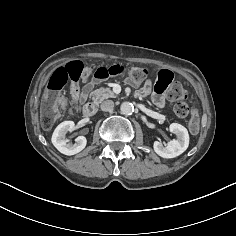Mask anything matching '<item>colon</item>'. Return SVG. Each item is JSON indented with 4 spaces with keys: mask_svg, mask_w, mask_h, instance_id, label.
Masks as SVG:
<instances>
[{
    "mask_svg": "<svg viewBox=\"0 0 236 236\" xmlns=\"http://www.w3.org/2000/svg\"><path fill=\"white\" fill-rule=\"evenodd\" d=\"M114 76H121L133 83H140L147 77V70L130 65H112L109 67L94 68L92 65L85 66L82 62L73 61L65 67L56 69L51 75L47 91L41 106V124L44 129H50L59 119L65 108V100L60 92L68 83L72 89L77 88L80 80H104ZM154 91L165 93L169 100L175 102L174 111L177 116L184 118L190 116L189 131L196 135L200 129L199 113L188 105L187 93L179 83H173V73L164 69L160 72L155 82Z\"/></svg>",
    "mask_w": 236,
    "mask_h": 236,
    "instance_id": "5ec220e1",
    "label": "colon"
}]
</instances>
